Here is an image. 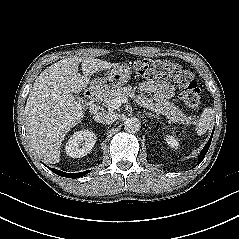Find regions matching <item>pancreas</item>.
<instances>
[{
  "instance_id": "pancreas-1",
  "label": "pancreas",
  "mask_w": 239,
  "mask_h": 239,
  "mask_svg": "<svg viewBox=\"0 0 239 239\" xmlns=\"http://www.w3.org/2000/svg\"><path fill=\"white\" fill-rule=\"evenodd\" d=\"M118 97H134L135 98V90L131 86L117 88L110 90L103 94V102L105 106L108 107L109 102ZM138 103L151 110H156L161 114L169 115L170 120L176 123L181 124H189L190 118L187 117L182 111H180L172 102L167 100H159L157 102H153L151 98L143 97L138 99Z\"/></svg>"
}]
</instances>
